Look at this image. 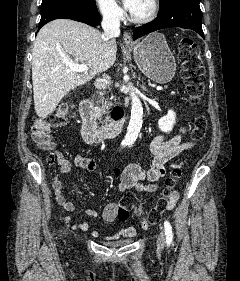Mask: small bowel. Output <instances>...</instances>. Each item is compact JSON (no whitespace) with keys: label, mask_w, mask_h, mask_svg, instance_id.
Segmentation results:
<instances>
[{"label":"small bowel","mask_w":240,"mask_h":281,"mask_svg":"<svg viewBox=\"0 0 240 281\" xmlns=\"http://www.w3.org/2000/svg\"><path fill=\"white\" fill-rule=\"evenodd\" d=\"M185 129H181L180 133L167 139L164 135H157L152 139L149 145V150L153 156L151 166L148 169L142 168L139 164L132 163L124 168H116L114 170L115 175L120 178L118 185V192L120 195L127 191L135 192H148L152 193L157 190V182L165 176L167 167L176 168L178 163L172 162V159L181 152L191 149L195 143L194 141H184L183 135ZM61 172L64 175L71 173L72 167L86 170L92 173L98 172V166L94 159L85 157L78 154L74 157L73 161H69L64 156L60 155L58 163ZM52 188L56 202L62 206L66 211L73 212L75 205L68 201L63 195L62 182L59 179H54L52 182ZM179 195L177 191H173L169 203L168 210H172L178 201ZM118 202L108 203L103 211L102 218L107 223H113L117 219ZM84 213L89 217H97L98 213L92 209L84 210ZM65 220L69 221V217H65ZM73 229L88 231L89 225L86 222H81L73 225ZM135 229L132 227L122 228L119 236H133ZM92 236L97 237L98 232L93 231Z\"/></svg>","instance_id":"small-bowel-1"}]
</instances>
